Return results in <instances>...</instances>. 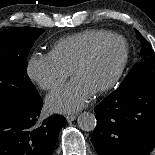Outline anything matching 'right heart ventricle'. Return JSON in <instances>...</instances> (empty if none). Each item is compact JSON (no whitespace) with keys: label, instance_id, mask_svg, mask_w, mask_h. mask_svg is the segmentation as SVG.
Instances as JSON below:
<instances>
[{"label":"right heart ventricle","instance_id":"e07e8e85","mask_svg":"<svg viewBox=\"0 0 155 155\" xmlns=\"http://www.w3.org/2000/svg\"><path fill=\"white\" fill-rule=\"evenodd\" d=\"M110 33L107 30L88 29L60 38L53 43L50 55L70 72L96 41Z\"/></svg>","mask_w":155,"mask_h":155}]
</instances>
